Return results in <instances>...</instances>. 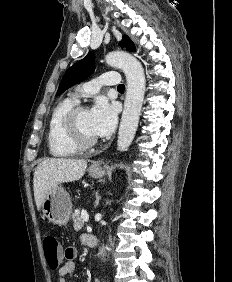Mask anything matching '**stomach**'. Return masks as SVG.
Returning <instances> with one entry per match:
<instances>
[{"instance_id":"stomach-1","label":"stomach","mask_w":232,"mask_h":282,"mask_svg":"<svg viewBox=\"0 0 232 282\" xmlns=\"http://www.w3.org/2000/svg\"><path fill=\"white\" fill-rule=\"evenodd\" d=\"M92 178H101L105 170L100 166H91L88 170ZM42 212L50 222L66 225L72 212V202L69 194L61 186L52 189L45 197Z\"/></svg>"}]
</instances>
